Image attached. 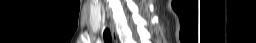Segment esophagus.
<instances>
[{
	"label": "esophagus",
	"instance_id": "1",
	"mask_svg": "<svg viewBox=\"0 0 256 43\" xmlns=\"http://www.w3.org/2000/svg\"><path fill=\"white\" fill-rule=\"evenodd\" d=\"M114 43H117V40H116V38H114Z\"/></svg>",
	"mask_w": 256,
	"mask_h": 43
}]
</instances>
